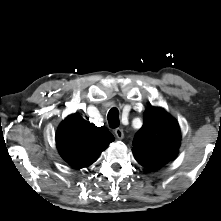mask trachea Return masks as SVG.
<instances>
[{
	"mask_svg": "<svg viewBox=\"0 0 221 221\" xmlns=\"http://www.w3.org/2000/svg\"><path fill=\"white\" fill-rule=\"evenodd\" d=\"M108 123L111 128H117L119 126V112L117 108H112L108 112Z\"/></svg>",
	"mask_w": 221,
	"mask_h": 221,
	"instance_id": "obj_1",
	"label": "trachea"
}]
</instances>
